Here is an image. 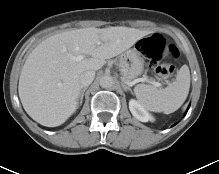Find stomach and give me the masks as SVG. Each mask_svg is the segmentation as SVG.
I'll list each match as a JSON object with an SVG mask.
<instances>
[{"label":"stomach","instance_id":"1","mask_svg":"<svg viewBox=\"0 0 219 174\" xmlns=\"http://www.w3.org/2000/svg\"><path fill=\"white\" fill-rule=\"evenodd\" d=\"M119 68L123 78L127 81H131L142 74L144 59L136 47L127 50L120 56Z\"/></svg>","mask_w":219,"mask_h":174}]
</instances>
